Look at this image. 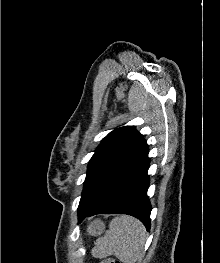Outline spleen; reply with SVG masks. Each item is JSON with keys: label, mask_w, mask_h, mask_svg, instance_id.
I'll return each mask as SVG.
<instances>
[{"label": "spleen", "mask_w": 220, "mask_h": 263, "mask_svg": "<svg viewBox=\"0 0 220 263\" xmlns=\"http://www.w3.org/2000/svg\"><path fill=\"white\" fill-rule=\"evenodd\" d=\"M146 229L143 224L127 215L114 218L105 236L98 238L92 253L96 257L115 255L124 263H135L143 254Z\"/></svg>", "instance_id": "1"}]
</instances>
